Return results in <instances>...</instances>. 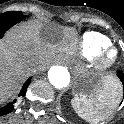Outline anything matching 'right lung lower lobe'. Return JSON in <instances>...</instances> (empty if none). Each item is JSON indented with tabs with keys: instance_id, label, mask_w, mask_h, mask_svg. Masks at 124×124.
<instances>
[{
	"instance_id": "98d812e1",
	"label": "right lung lower lobe",
	"mask_w": 124,
	"mask_h": 124,
	"mask_svg": "<svg viewBox=\"0 0 124 124\" xmlns=\"http://www.w3.org/2000/svg\"><path fill=\"white\" fill-rule=\"evenodd\" d=\"M19 22L20 21L12 20V19H1L0 20V39L3 37V35L9 28H11L12 26L16 25ZM30 82H31V78L26 80L18 96H22V97L25 96L27 87L30 84ZM15 103H16V99L13 102L9 103L8 105L0 108V116L6 115L12 112L14 110Z\"/></svg>"
}]
</instances>
